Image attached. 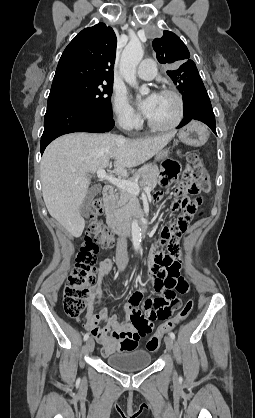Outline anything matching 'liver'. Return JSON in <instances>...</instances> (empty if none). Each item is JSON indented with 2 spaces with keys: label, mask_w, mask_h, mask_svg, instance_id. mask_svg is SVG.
<instances>
[{
  "label": "liver",
  "mask_w": 255,
  "mask_h": 418,
  "mask_svg": "<svg viewBox=\"0 0 255 418\" xmlns=\"http://www.w3.org/2000/svg\"><path fill=\"white\" fill-rule=\"evenodd\" d=\"M174 136L171 132L128 139L114 134L72 133L57 138L46 148L40 164L49 214L72 236L80 237L85 226L80 207L89 189V175L114 167L115 174L127 176L129 169L158 154Z\"/></svg>",
  "instance_id": "1"
}]
</instances>
